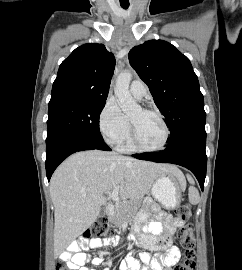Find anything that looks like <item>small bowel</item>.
I'll return each mask as SVG.
<instances>
[{"label": "small bowel", "instance_id": "obj_1", "mask_svg": "<svg viewBox=\"0 0 242 270\" xmlns=\"http://www.w3.org/2000/svg\"><path fill=\"white\" fill-rule=\"evenodd\" d=\"M182 225V221L164 212H158L155 220H148V213L140 212L135 219L134 232L130 237L136 244L146 250L157 251L158 254L154 259L147 252H142L139 258L127 255L120 263V270H172L171 267L176 265L181 258V252L177 246L173 245L172 238L175 230ZM116 243L115 239L74 242L69 245L67 251L61 254L60 259L69 270H93L88 264L98 266L103 262V257L91 258L84 250L98 249ZM141 262L147 267H141Z\"/></svg>", "mask_w": 242, "mask_h": 270}]
</instances>
